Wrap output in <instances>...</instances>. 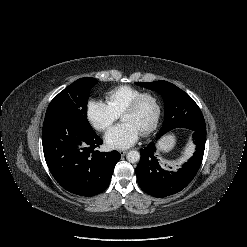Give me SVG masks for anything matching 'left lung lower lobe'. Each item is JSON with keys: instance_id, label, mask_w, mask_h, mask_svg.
<instances>
[{"instance_id": "0a47b994", "label": "left lung lower lobe", "mask_w": 247, "mask_h": 247, "mask_svg": "<svg viewBox=\"0 0 247 247\" xmlns=\"http://www.w3.org/2000/svg\"><path fill=\"white\" fill-rule=\"evenodd\" d=\"M190 134L195 152L189 161L176 172L165 169L154 156L156 150L154 142L140 150L141 158L135 172L138 185L145 193L163 198L181 191L192 181L203 159L206 128L191 130Z\"/></svg>"}]
</instances>
